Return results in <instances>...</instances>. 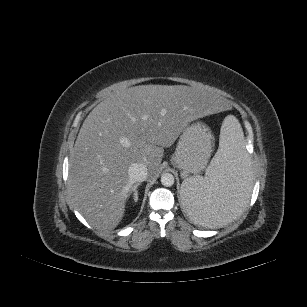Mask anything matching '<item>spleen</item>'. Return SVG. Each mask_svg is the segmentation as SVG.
Here are the masks:
<instances>
[{"instance_id": "spleen-1", "label": "spleen", "mask_w": 307, "mask_h": 307, "mask_svg": "<svg viewBox=\"0 0 307 307\" xmlns=\"http://www.w3.org/2000/svg\"><path fill=\"white\" fill-rule=\"evenodd\" d=\"M250 157L240 123L227 116L221 126L219 148L205 176L182 182V205L195 224L221 227L243 211L251 194Z\"/></svg>"}]
</instances>
